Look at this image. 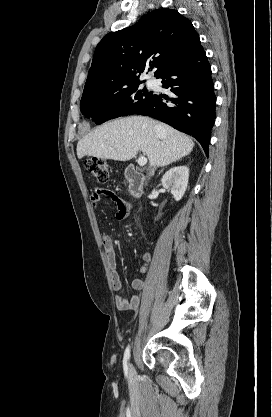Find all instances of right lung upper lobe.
Segmentation results:
<instances>
[{"label": "right lung upper lobe", "mask_w": 272, "mask_h": 417, "mask_svg": "<svg viewBox=\"0 0 272 417\" xmlns=\"http://www.w3.org/2000/svg\"><path fill=\"white\" fill-rule=\"evenodd\" d=\"M200 43L192 23L178 11L155 10L132 26L107 34L97 45L83 94L109 93L141 83L150 65L158 77Z\"/></svg>", "instance_id": "cb5924a9"}]
</instances>
